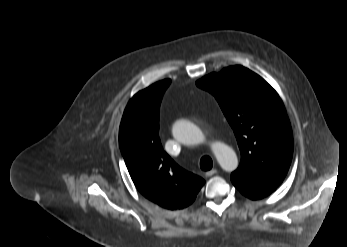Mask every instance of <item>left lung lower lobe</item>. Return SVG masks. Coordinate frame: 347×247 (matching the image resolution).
I'll return each instance as SVG.
<instances>
[{
    "label": "left lung lower lobe",
    "instance_id": "1",
    "mask_svg": "<svg viewBox=\"0 0 347 247\" xmlns=\"http://www.w3.org/2000/svg\"><path fill=\"white\" fill-rule=\"evenodd\" d=\"M231 181L243 195L252 200L261 199L268 196L278 187L274 185H255L236 177H231Z\"/></svg>",
    "mask_w": 347,
    "mask_h": 247
}]
</instances>
